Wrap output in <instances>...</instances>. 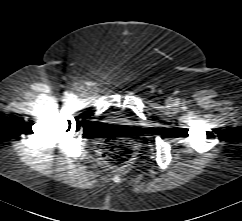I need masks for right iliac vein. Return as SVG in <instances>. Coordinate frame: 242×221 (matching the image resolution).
I'll list each match as a JSON object with an SVG mask.
<instances>
[{
    "label": "right iliac vein",
    "mask_w": 242,
    "mask_h": 221,
    "mask_svg": "<svg viewBox=\"0 0 242 221\" xmlns=\"http://www.w3.org/2000/svg\"><path fill=\"white\" fill-rule=\"evenodd\" d=\"M69 99L74 100L75 99V96L74 95H70L69 96Z\"/></svg>",
    "instance_id": "obj_1"
}]
</instances>
